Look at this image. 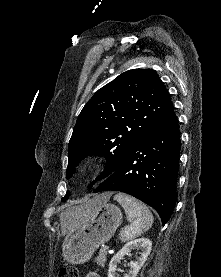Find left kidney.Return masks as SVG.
Segmentation results:
<instances>
[{"label":"left kidney","instance_id":"5707ae66","mask_svg":"<svg viewBox=\"0 0 221 277\" xmlns=\"http://www.w3.org/2000/svg\"><path fill=\"white\" fill-rule=\"evenodd\" d=\"M152 248V242L148 238H138L127 242L117 254L113 256L109 263L108 277H117V265L124 255L129 254L132 249L140 250V256L136 261L129 263L130 270L124 277H136L139 270L145 263Z\"/></svg>","mask_w":221,"mask_h":277}]
</instances>
